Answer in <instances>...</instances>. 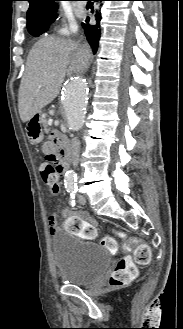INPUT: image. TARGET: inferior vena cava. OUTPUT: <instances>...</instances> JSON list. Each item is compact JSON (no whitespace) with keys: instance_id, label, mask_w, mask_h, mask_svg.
Instances as JSON below:
<instances>
[{"instance_id":"602c4592","label":"inferior vena cava","mask_w":183,"mask_h":329,"mask_svg":"<svg viewBox=\"0 0 183 329\" xmlns=\"http://www.w3.org/2000/svg\"><path fill=\"white\" fill-rule=\"evenodd\" d=\"M90 50L88 48H80L78 50L77 60L80 62L82 70H86L90 63ZM79 150H80V142L77 138H73L71 141V160L74 168L78 166L79 162Z\"/></svg>"}]
</instances>
